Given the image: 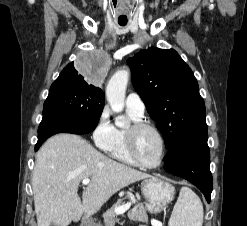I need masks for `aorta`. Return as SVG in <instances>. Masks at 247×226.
<instances>
[{
	"label": "aorta",
	"instance_id": "aorta-1",
	"mask_svg": "<svg viewBox=\"0 0 247 226\" xmlns=\"http://www.w3.org/2000/svg\"><path fill=\"white\" fill-rule=\"evenodd\" d=\"M129 71L122 69L116 71L110 78L106 87L107 101L115 113H121L125 106V93L129 80ZM118 127L126 126V119L120 116L115 120Z\"/></svg>",
	"mask_w": 247,
	"mask_h": 226
}]
</instances>
